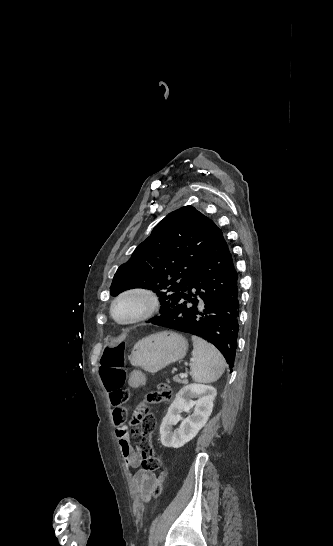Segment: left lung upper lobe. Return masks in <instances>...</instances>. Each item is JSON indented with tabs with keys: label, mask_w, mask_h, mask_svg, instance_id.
I'll list each match as a JSON object with an SVG mask.
<instances>
[{
	"label": "left lung upper lobe",
	"mask_w": 333,
	"mask_h": 546,
	"mask_svg": "<svg viewBox=\"0 0 333 546\" xmlns=\"http://www.w3.org/2000/svg\"><path fill=\"white\" fill-rule=\"evenodd\" d=\"M218 227L192 206L168 214L114 275L110 293L146 288L160 296V314L184 292L207 256ZM156 318V317H155Z\"/></svg>",
	"instance_id": "5c2ea615"
}]
</instances>
